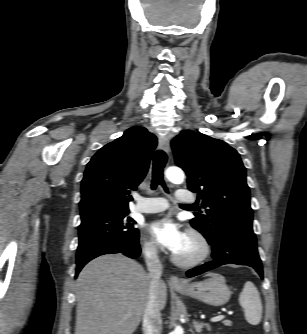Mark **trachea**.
Returning a JSON list of instances; mask_svg holds the SVG:
<instances>
[{"label":"trachea","instance_id":"3493384b","mask_svg":"<svg viewBox=\"0 0 307 334\" xmlns=\"http://www.w3.org/2000/svg\"><path fill=\"white\" fill-rule=\"evenodd\" d=\"M167 162V155L162 150H157L154 154L153 158V170H152V183L151 188L154 190L158 185H161L166 192H168V189L165 185L164 179H163V170ZM190 208H195L194 205H183Z\"/></svg>","mask_w":307,"mask_h":334}]
</instances>
